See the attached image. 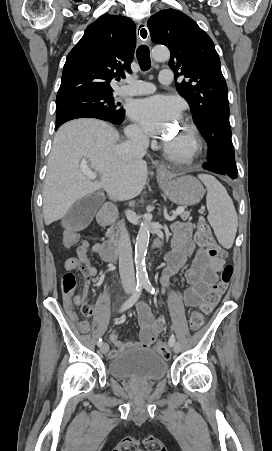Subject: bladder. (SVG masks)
<instances>
[{
	"label": "bladder",
	"instance_id": "bladder-1",
	"mask_svg": "<svg viewBox=\"0 0 272 451\" xmlns=\"http://www.w3.org/2000/svg\"><path fill=\"white\" fill-rule=\"evenodd\" d=\"M108 374L118 381L133 380L153 382L164 379L167 361L162 354L150 349L130 350L120 354L107 364Z\"/></svg>",
	"mask_w": 272,
	"mask_h": 451
}]
</instances>
